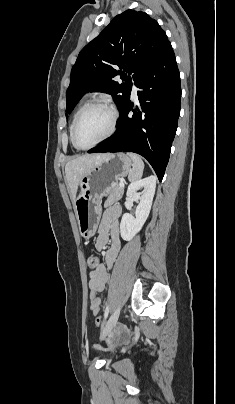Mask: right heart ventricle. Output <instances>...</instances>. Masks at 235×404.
<instances>
[{"mask_svg":"<svg viewBox=\"0 0 235 404\" xmlns=\"http://www.w3.org/2000/svg\"><path fill=\"white\" fill-rule=\"evenodd\" d=\"M88 104L87 101H84L83 103L80 104V106L77 108L76 112L73 115L71 124H70V129H69V134H70V139H71V132H72V128H73V124L75 122L76 117L78 116V114L80 113V111Z\"/></svg>","mask_w":235,"mask_h":404,"instance_id":"e07e8e85","label":"right heart ventricle"}]
</instances>
